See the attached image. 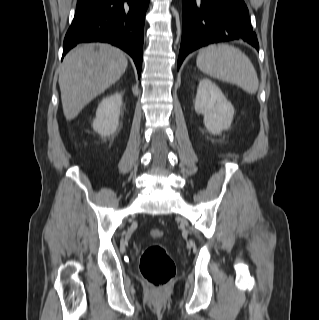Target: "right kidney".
<instances>
[{
    "instance_id": "obj_1",
    "label": "right kidney",
    "mask_w": 319,
    "mask_h": 320,
    "mask_svg": "<svg viewBox=\"0 0 319 320\" xmlns=\"http://www.w3.org/2000/svg\"><path fill=\"white\" fill-rule=\"evenodd\" d=\"M122 95L114 93L105 97L98 105L93 129L102 138L114 134L119 126Z\"/></svg>"
}]
</instances>
